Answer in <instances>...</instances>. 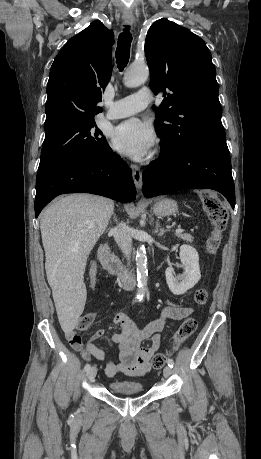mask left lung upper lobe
Wrapping results in <instances>:
<instances>
[{"label":"left lung upper lobe","mask_w":261,"mask_h":459,"mask_svg":"<svg viewBox=\"0 0 261 459\" xmlns=\"http://www.w3.org/2000/svg\"><path fill=\"white\" fill-rule=\"evenodd\" d=\"M145 55L151 89L164 91L154 122L162 145L182 151L204 139L225 138L216 69L204 41L163 18L147 33Z\"/></svg>","instance_id":"left-lung-upper-lobe-1"}]
</instances>
